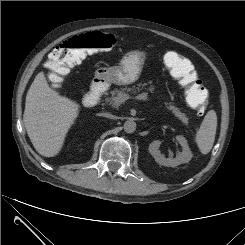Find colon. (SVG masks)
I'll return each instance as SVG.
<instances>
[{
	"label": "colon",
	"instance_id": "obj_1",
	"mask_svg": "<svg viewBox=\"0 0 245 245\" xmlns=\"http://www.w3.org/2000/svg\"><path fill=\"white\" fill-rule=\"evenodd\" d=\"M116 45L113 34L93 31L74 36L59 44L50 54L47 67L55 82H61L70 68L80 63L87 55L112 49ZM166 65L171 73L185 86L188 104L203 115L208 107L209 94L203 83L186 73L184 57L171 53L166 57Z\"/></svg>",
	"mask_w": 245,
	"mask_h": 245
}]
</instances>
